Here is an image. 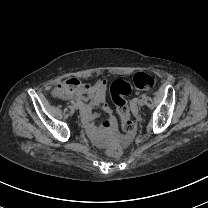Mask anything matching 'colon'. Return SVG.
I'll return each instance as SVG.
<instances>
[{"mask_svg":"<svg viewBox=\"0 0 208 208\" xmlns=\"http://www.w3.org/2000/svg\"><path fill=\"white\" fill-rule=\"evenodd\" d=\"M155 80L152 76L145 73H137L133 78V85L137 91H148L153 88ZM71 88L73 83H67ZM133 86L128 80L117 79L113 81L110 88L111 98L115 104L116 112L120 118L123 129L131 133L134 131V122L130 118L127 98L132 93ZM118 141L108 143L104 148L105 155L110 159L117 158L121 153Z\"/></svg>","mask_w":208,"mask_h":208,"instance_id":"1","label":"colon"}]
</instances>
